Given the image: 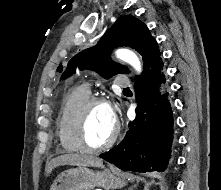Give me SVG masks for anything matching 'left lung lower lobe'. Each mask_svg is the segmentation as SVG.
<instances>
[{
	"label": "left lung lower lobe",
	"mask_w": 221,
	"mask_h": 190,
	"mask_svg": "<svg viewBox=\"0 0 221 190\" xmlns=\"http://www.w3.org/2000/svg\"><path fill=\"white\" fill-rule=\"evenodd\" d=\"M136 119L121 143L100 157L125 171L164 172L171 159L174 119L161 58L136 79Z\"/></svg>",
	"instance_id": "1"
}]
</instances>
